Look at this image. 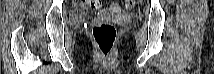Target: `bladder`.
Returning <instances> with one entry per match:
<instances>
[{
    "label": "bladder",
    "mask_w": 214,
    "mask_h": 74,
    "mask_svg": "<svg viewBox=\"0 0 214 74\" xmlns=\"http://www.w3.org/2000/svg\"><path fill=\"white\" fill-rule=\"evenodd\" d=\"M85 13L77 10L71 13V21L75 22V21H81L82 19L85 18Z\"/></svg>",
    "instance_id": "obj_1"
}]
</instances>
